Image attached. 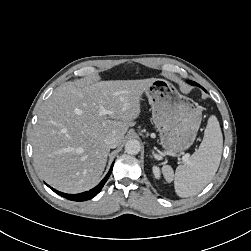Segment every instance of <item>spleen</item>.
<instances>
[{"instance_id":"obj_1","label":"spleen","mask_w":251,"mask_h":251,"mask_svg":"<svg viewBox=\"0 0 251 251\" xmlns=\"http://www.w3.org/2000/svg\"><path fill=\"white\" fill-rule=\"evenodd\" d=\"M223 137L216 116L208 119L203 140L189 161L179 165L174 173L169 165L162 167L167 182L174 180L175 192L185 198L198 194L212 180L220 164Z\"/></svg>"}]
</instances>
